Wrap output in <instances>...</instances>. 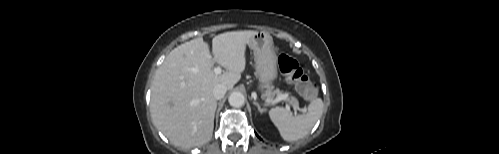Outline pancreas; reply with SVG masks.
I'll return each instance as SVG.
<instances>
[{
  "mask_svg": "<svg viewBox=\"0 0 499 154\" xmlns=\"http://www.w3.org/2000/svg\"><path fill=\"white\" fill-rule=\"evenodd\" d=\"M273 89H274V87L272 85H269L266 92H265V96L269 100H272L275 96L277 98L282 97L283 100L288 101L293 106L294 109H298V100L295 97L289 96L288 93H283L279 89H275V90H273Z\"/></svg>",
  "mask_w": 499,
  "mask_h": 154,
  "instance_id": "pancreas-1",
  "label": "pancreas"
}]
</instances>
